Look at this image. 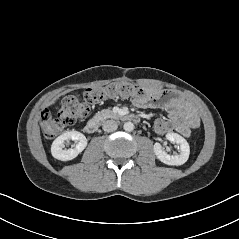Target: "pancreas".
<instances>
[{
	"label": "pancreas",
	"instance_id": "pancreas-1",
	"mask_svg": "<svg viewBox=\"0 0 239 239\" xmlns=\"http://www.w3.org/2000/svg\"><path fill=\"white\" fill-rule=\"evenodd\" d=\"M115 116L116 115L110 109H104L95 115V117L99 120H104L106 118H113Z\"/></svg>",
	"mask_w": 239,
	"mask_h": 239
}]
</instances>
